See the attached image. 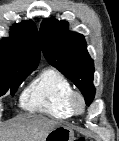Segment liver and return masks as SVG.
Here are the masks:
<instances>
[{"mask_svg":"<svg viewBox=\"0 0 119 141\" xmlns=\"http://www.w3.org/2000/svg\"><path fill=\"white\" fill-rule=\"evenodd\" d=\"M59 125L41 116L22 118L0 133V141H45L48 133Z\"/></svg>","mask_w":119,"mask_h":141,"instance_id":"6515ba94","label":"liver"}]
</instances>
